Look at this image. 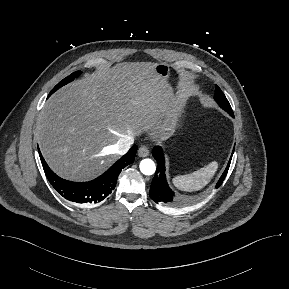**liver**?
<instances>
[{"label": "liver", "instance_id": "1", "mask_svg": "<svg viewBox=\"0 0 289 289\" xmlns=\"http://www.w3.org/2000/svg\"><path fill=\"white\" fill-rule=\"evenodd\" d=\"M154 63L122 62L87 74L55 92L37 120L40 151L49 167L71 181H88L118 158L126 135L153 129L171 94Z\"/></svg>", "mask_w": 289, "mask_h": 289}]
</instances>
